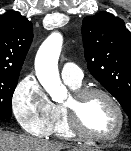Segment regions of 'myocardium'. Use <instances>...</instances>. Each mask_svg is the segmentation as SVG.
<instances>
[{
  "mask_svg": "<svg viewBox=\"0 0 131 151\" xmlns=\"http://www.w3.org/2000/svg\"><path fill=\"white\" fill-rule=\"evenodd\" d=\"M96 95L106 98L113 105L118 115L119 119L118 128L114 134L108 137H101L90 133L89 131L86 130L83 124L82 111L84 105L89 98ZM64 108L67 114L69 127L73 134L78 138L95 141L99 143H110L118 139L124 130L125 127L124 110L120 102L117 100V98L112 93L103 88L84 87L75 90L71 98L64 105Z\"/></svg>",
  "mask_w": 131,
  "mask_h": 151,
  "instance_id": "f54148a6",
  "label": "myocardium"
}]
</instances>
